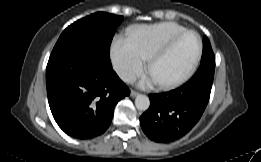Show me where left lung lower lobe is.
I'll return each instance as SVG.
<instances>
[{
    "instance_id": "0a47b994",
    "label": "left lung lower lobe",
    "mask_w": 261,
    "mask_h": 162,
    "mask_svg": "<svg viewBox=\"0 0 261 162\" xmlns=\"http://www.w3.org/2000/svg\"><path fill=\"white\" fill-rule=\"evenodd\" d=\"M214 78V69L198 70L181 87L151 94L150 107L140 117L144 133L155 142L168 143L186 135L200 120Z\"/></svg>"
}]
</instances>
